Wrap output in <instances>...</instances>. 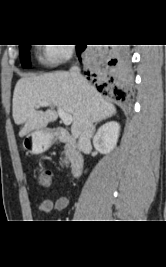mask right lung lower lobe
<instances>
[{"instance_id": "obj_1", "label": "right lung lower lobe", "mask_w": 166, "mask_h": 267, "mask_svg": "<svg viewBox=\"0 0 166 267\" xmlns=\"http://www.w3.org/2000/svg\"><path fill=\"white\" fill-rule=\"evenodd\" d=\"M86 45H76L77 55L84 52ZM101 64L96 65L92 60L84 72L87 79L91 80L98 91L111 95L117 100L124 101L128 96L131 85L129 67V54L124 47H109L103 56Z\"/></svg>"}]
</instances>
